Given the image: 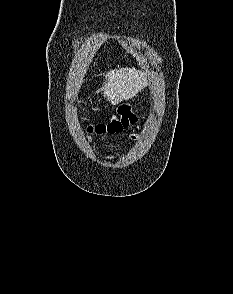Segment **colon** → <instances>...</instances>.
Here are the masks:
<instances>
[{
	"label": "colon",
	"instance_id": "obj_1",
	"mask_svg": "<svg viewBox=\"0 0 233 294\" xmlns=\"http://www.w3.org/2000/svg\"><path fill=\"white\" fill-rule=\"evenodd\" d=\"M120 118L111 121L108 125L99 124L95 127L97 133H119L124 128H127L129 125H132L136 122L137 117L128 106L121 107L119 111ZM92 130V129H91Z\"/></svg>",
	"mask_w": 233,
	"mask_h": 294
}]
</instances>
